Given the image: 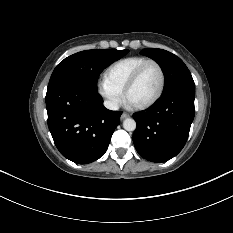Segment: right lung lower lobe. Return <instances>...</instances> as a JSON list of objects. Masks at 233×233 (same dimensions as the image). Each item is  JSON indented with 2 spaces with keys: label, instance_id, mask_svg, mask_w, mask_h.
I'll list each match as a JSON object with an SVG mask.
<instances>
[{
  "label": "right lung lower lobe",
  "instance_id": "right-lung-lower-lobe-1",
  "mask_svg": "<svg viewBox=\"0 0 233 233\" xmlns=\"http://www.w3.org/2000/svg\"><path fill=\"white\" fill-rule=\"evenodd\" d=\"M46 108L56 147L78 164L104 155L122 114L107 110L98 91L72 83L48 86Z\"/></svg>",
  "mask_w": 233,
  "mask_h": 233
}]
</instances>
